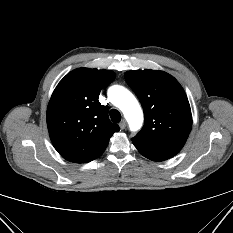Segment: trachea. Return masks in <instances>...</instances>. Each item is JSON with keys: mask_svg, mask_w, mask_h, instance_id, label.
Returning a JSON list of instances; mask_svg holds the SVG:
<instances>
[{"mask_svg": "<svg viewBox=\"0 0 233 233\" xmlns=\"http://www.w3.org/2000/svg\"><path fill=\"white\" fill-rule=\"evenodd\" d=\"M110 118H111L112 122L118 123L121 120V114L118 110L112 109L110 111Z\"/></svg>", "mask_w": 233, "mask_h": 233, "instance_id": "obj_1", "label": "trachea"}]
</instances>
